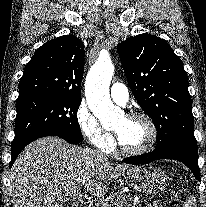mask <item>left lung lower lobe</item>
<instances>
[{
  "label": "left lung lower lobe",
  "mask_w": 206,
  "mask_h": 207,
  "mask_svg": "<svg viewBox=\"0 0 206 207\" xmlns=\"http://www.w3.org/2000/svg\"><path fill=\"white\" fill-rule=\"evenodd\" d=\"M159 159H174L183 162L200 181V169L198 166V149L193 146H176L161 151H153L126 160L127 164H147Z\"/></svg>",
  "instance_id": "0a47b994"
}]
</instances>
